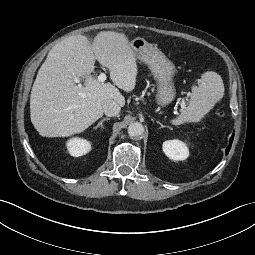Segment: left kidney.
Listing matches in <instances>:
<instances>
[{"label": "left kidney", "instance_id": "5707ae66", "mask_svg": "<svg viewBox=\"0 0 255 255\" xmlns=\"http://www.w3.org/2000/svg\"><path fill=\"white\" fill-rule=\"evenodd\" d=\"M163 152L171 160H185L189 156V150L180 140H167L163 143Z\"/></svg>", "mask_w": 255, "mask_h": 255}]
</instances>
